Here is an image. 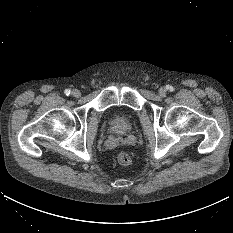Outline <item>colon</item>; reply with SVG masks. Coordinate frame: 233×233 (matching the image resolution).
I'll return each mask as SVG.
<instances>
[{
	"label": "colon",
	"instance_id": "5ec220e1",
	"mask_svg": "<svg viewBox=\"0 0 233 233\" xmlns=\"http://www.w3.org/2000/svg\"><path fill=\"white\" fill-rule=\"evenodd\" d=\"M117 161L120 165H129L132 161V158L130 156L129 153L127 152H121L118 157H117Z\"/></svg>",
	"mask_w": 233,
	"mask_h": 233
}]
</instances>
